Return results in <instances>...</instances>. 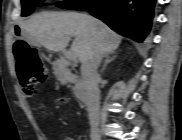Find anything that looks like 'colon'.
I'll return each mask as SVG.
<instances>
[{
    "mask_svg": "<svg viewBox=\"0 0 182 140\" xmlns=\"http://www.w3.org/2000/svg\"><path fill=\"white\" fill-rule=\"evenodd\" d=\"M17 60V70L25 94L29 97L36 92V86L47 79L48 71L37 49L30 47L25 41L18 40L13 45ZM65 97L58 99L60 104L66 102Z\"/></svg>",
    "mask_w": 182,
    "mask_h": 140,
    "instance_id": "5ec220e1",
    "label": "colon"
}]
</instances>
